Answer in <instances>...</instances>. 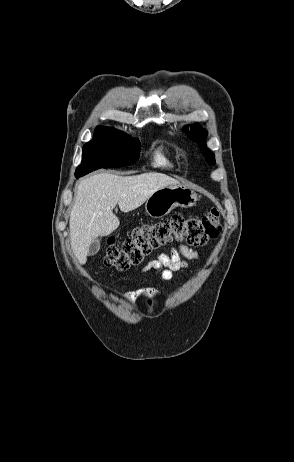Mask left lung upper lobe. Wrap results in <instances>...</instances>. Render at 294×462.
Returning <instances> with one entry per match:
<instances>
[{
  "label": "left lung upper lobe",
  "instance_id": "5c2ea615",
  "mask_svg": "<svg viewBox=\"0 0 294 462\" xmlns=\"http://www.w3.org/2000/svg\"><path fill=\"white\" fill-rule=\"evenodd\" d=\"M184 132L187 133L189 138H191L192 140L196 141L199 144V147L201 148L207 161L210 164L214 165L215 164L214 154L206 147V144H205L206 131L202 127H200L199 124L196 123L190 127V130H188V126H185Z\"/></svg>",
  "mask_w": 294,
  "mask_h": 462
}]
</instances>
